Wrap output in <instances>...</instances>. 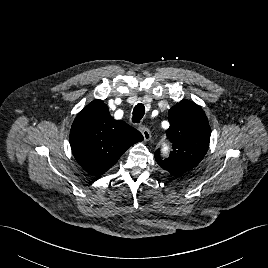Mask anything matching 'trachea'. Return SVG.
Instances as JSON below:
<instances>
[{
    "instance_id": "obj_1",
    "label": "trachea",
    "mask_w": 268,
    "mask_h": 268,
    "mask_svg": "<svg viewBox=\"0 0 268 268\" xmlns=\"http://www.w3.org/2000/svg\"><path fill=\"white\" fill-rule=\"evenodd\" d=\"M145 114V107L143 104L138 103L133 110L132 122L139 123Z\"/></svg>"
}]
</instances>
